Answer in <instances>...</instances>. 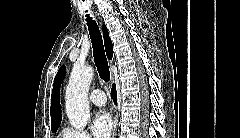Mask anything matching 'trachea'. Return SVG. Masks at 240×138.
I'll use <instances>...</instances> for the list:
<instances>
[{
	"label": "trachea",
	"mask_w": 240,
	"mask_h": 138,
	"mask_svg": "<svg viewBox=\"0 0 240 138\" xmlns=\"http://www.w3.org/2000/svg\"><path fill=\"white\" fill-rule=\"evenodd\" d=\"M86 21L92 42L94 61L99 76L104 82L107 83L110 80V71L100 30L97 23L92 19V17L89 16V14L86 15Z\"/></svg>",
	"instance_id": "1"
}]
</instances>
